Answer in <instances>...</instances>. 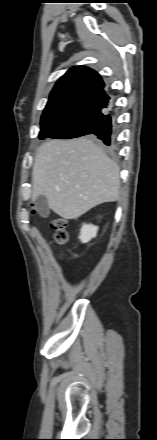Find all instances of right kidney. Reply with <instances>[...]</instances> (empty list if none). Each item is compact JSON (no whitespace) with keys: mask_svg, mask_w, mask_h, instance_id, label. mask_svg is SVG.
I'll return each mask as SVG.
<instances>
[{"mask_svg":"<svg viewBox=\"0 0 157 440\" xmlns=\"http://www.w3.org/2000/svg\"><path fill=\"white\" fill-rule=\"evenodd\" d=\"M98 227L92 224H83L79 239L82 243L89 242L92 238H95L97 235Z\"/></svg>","mask_w":157,"mask_h":440,"instance_id":"ca27d5eb","label":"right kidney"}]
</instances>
